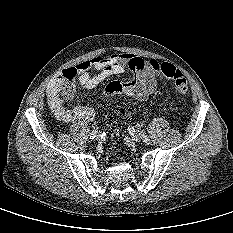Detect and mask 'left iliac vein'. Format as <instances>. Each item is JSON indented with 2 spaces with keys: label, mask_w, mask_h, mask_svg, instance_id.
Listing matches in <instances>:
<instances>
[{
  "label": "left iliac vein",
  "mask_w": 233,
  "mask_h": 233,
  "mask_svg": "<svg viewBox=\"0 0 233 233\" xmlns=\"http://www.w3.org/2000/svg\"><path fill=\"white\" fill-rule=\"evenodd\" d=\"M142 139V134H140L139 132H135L134 134V141L135 142H140Z\"/></svg>",
  "instance_id": "obj_1"
}]
</instances>
